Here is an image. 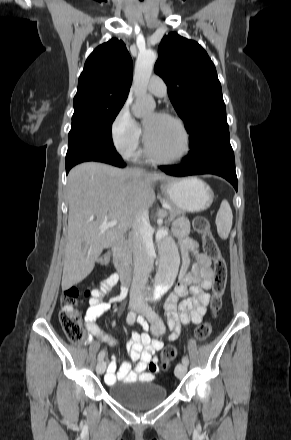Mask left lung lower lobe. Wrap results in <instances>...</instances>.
Returning a JSON list of instances; mask_svg holds the SVG:
<instances>
[{"label":"left lung lower lobe","instance_id":"left-lung-lower-lobe-1","mask_svg":"<svg viewBox=\"0 0 291 440\" xmlns=\"http://www.w3.org/2000/svg\"><path fill=\"white\" fill-rule=\"evenodd\" d=\"M183 164L159 166L171 176L183 177L197 174H215L228 180L237 191L234 152L229 131L217 133L192 150Z\"/></svg>","mask_w":291,"mask_h":440}]
</instances>
